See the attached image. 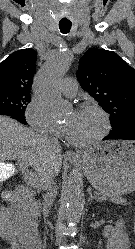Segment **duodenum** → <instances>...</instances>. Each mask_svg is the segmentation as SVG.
Returning a JSON list of instances; mask_svg holds the SVG:
<instances>
[{"label": "duodenum", "mask_w": 135, "mask_h": 249, "mask_svg": "<svg viewBox=\"0 0 135 249\" xmlns=\"http://www.w3.org/2000/svg\"><path fill=\"white\" fill-rule=\"evenodd\" d=\"M30 193L28 189L25 187H19L14 190H10L4 193V199L12 203V207H14L20 217L22 216V221L24 223V229H30L32 230V226L29 222V216L25 212V208L27 204L29 203ZM26 244L33 248V249H41L43 241H42V234L38 230L33 234V236L30 238L28 234H26Z\"/></svg>", "instance_id": "1"}]
</instances>
